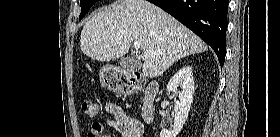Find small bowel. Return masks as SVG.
Masks as SVG:
<instances>
[{
  "mask_svg": "<svg viewBox=\"0 0 280 137\" xmlns=\"http://www.w3.org/2000/svg\"><path fill=\"white\" fill-rule=\"evenodd\" d=\"M107 111L113 116V119L108 120L103 123L95 122L91 125V129L88 132L87 137H110L104 133L105 127L116 128L121 132L123 137H142L140 132V125L137 121L131 118L121 106L117 104H109L107 106ZM130 122H135L139 126V132L136 136H131L129 131Z\"/></svg>",
  "mask_w": 280,
  "mask_h": 137,
  "instance_id": "1",
  "label": "small bowel"
}]
</instances>
